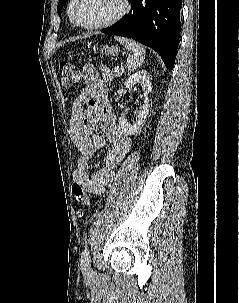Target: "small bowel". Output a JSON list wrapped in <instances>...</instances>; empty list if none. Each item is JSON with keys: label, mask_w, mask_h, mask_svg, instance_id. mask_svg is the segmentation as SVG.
I'll return each mask as SVG.
<instances>
[{"label": "small bowel", "mask_w": 239, "mask_h": 303, "mask_svg": "<svg viewBox=\"0 0 239 303\" xmlns=\"http://www.w3.org/2000/svg\"><path fill=\"white\" fill-rule=\"evenodd\" d=\"M84 72L86 84L73 106L72 140L77 150L73 179L86 192L102 195L113 182L115 169L130 151L131 139L115 120L104 81L91 65H85ZM85 103L87 108L81 111ZM97 125L107 137L108 148L104 166L90 175V160L106 146L104 138L93 131Z\"/></svg>", "instance_id": "1"}]
</instances>
